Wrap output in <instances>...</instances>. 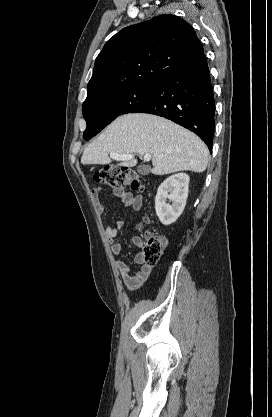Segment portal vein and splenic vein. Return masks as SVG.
<instances>
[{"label": "portal vein and splenic vein", "mask_w": 272, "mask_h": 417, "mask_svg": "<svg viewBox=\"0 0 272 417\" xmlns=\"http://www.w3.org/2000/svg\"><path fill=\"white\" fill-rule=\"evenodd\" d=\"M110 157L112 159H115V160L124 161V160H131V159H133L134 156L132 154H119V153H116V152H110ZM151 158H152V155L149 154V153H146L144 155V160H146V161H150Z\"/></svg>", "instance_id": "portal-vein-and-splenic-vein-1"}]
</instances>
